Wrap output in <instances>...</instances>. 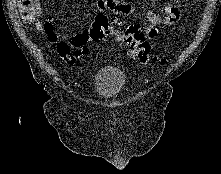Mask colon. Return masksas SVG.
Listing matches in <instances>:
<instances>
[{"label": "colon", "mask_w": 221, "mask_h": 174, "mask_svg": "<svg viewBox=\"0 0 221 174\" xmlns=\"http://www.w3.org/2000/svg\"><path fill=\"white\" fill-rule=\"evenodd\" d=\"M39 1L18 0L21 18L25 23L31 24L37 19ZM110 36H113L117 43H125L129 54L143 65L152 62H163L162 59L151 56L148 37L144 29L137 23H131L122 29L114 28L106 15H97L91 26L83 32L82 39L99 42Z\"/></svg>", "instance_id": "colon-1"}]
</instances>
